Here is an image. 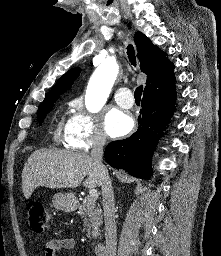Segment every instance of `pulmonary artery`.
I'll use <instances>...</instances> for the list:
<instances>
[{"label":"pulmonary artery","instance_id":"1","mask_svg":"<svg viewBox=\"0 0 221 256\" xmlns=\"http://www.w3.org/2000/svg\"><path fill=\"white\" fill-rule=\"evenodd\" d=\"M116 103L122 108H131L134 104L133 95L126 87L118 88L114 95Z\"/></svg>","mask_w":221,"mask_h":256}]
</instances>
